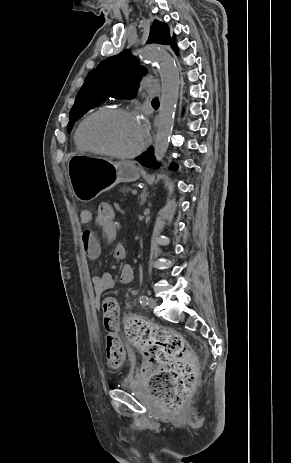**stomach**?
<instances>
[{"label":"stomach","mask_w":291,"mask_h":463,"mask_svg":"<svg viewBox=\"0 0 291 463\" xmlns=\"http://www.w3.org/2000/svg\"><path fill=\"white\" fill-rule=\"evenodd\" d=\"M67 174L75 197L83 202L92 201L119 181L132 182L140 177L138 167L131 162H114L87 153L70 156Z\"/></svg>","instance_id":"obj_1"}]
</instances>
